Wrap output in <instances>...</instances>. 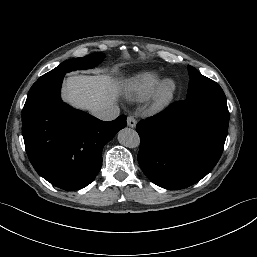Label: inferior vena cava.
<instances>
[{
  "label": "inferior vena cava",
  "instance_id": "inferior-vena-cava-1",
  "mask_svg": "<svg viewBox=\"0 0 257 257\" xmlns=\"http://www.w3.org/2000/svg\"><path fill=\"white\" fill-rule=\"evenodd\" d=\"M120 110L117 105H108L96 108L92 111L93 116L103 121H111L119 116Z\"/></svg>",
  "mask_w": 257,
  "mask_h": 257
}]
</instances>
